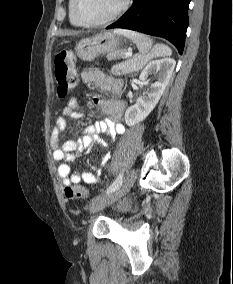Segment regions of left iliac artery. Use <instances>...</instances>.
Wrapping results in <instances>:
<instances>
[{"label":"left iliac artery","mask_w":233,"mask_h":284,"mask_svg":"<svg viewBox=\"0 0 233 284\" xmlns=\"http://www.w3.org/2000/svg\"><path fill=\"white\" fill-rule=\"evenodd\" d=\"M123 182V174H119V176L115 179V181L109 186L107 189V193L116 190Z\"/></svg>","instance_id":"obj_1"}]
</instances>
